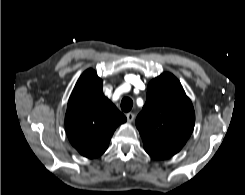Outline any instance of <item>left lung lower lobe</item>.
I'll return each instance as SVG.
<instances>
[{"label":"left lung lower lobe","mask_w":245,"mask_h":195,"mask_svg":"<svg viewBox=\"0 0 245 195\" xmlns=\"http://www.w3.org/2000/svg\"><path fill=\"white\" fill-rule=\"evenodd\" d=\"M144 149H145V151H146L150 156H152V157L155 158V159H166V158L171 157V156L164 155V154H161V153L153 152V151H151V150H149V149H147V148H145V147H144Z\"/></svg>","instance_id":"0a47b994"}]
</instances>
